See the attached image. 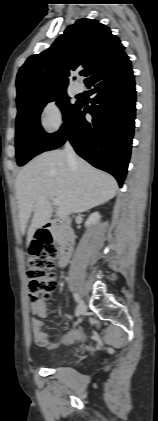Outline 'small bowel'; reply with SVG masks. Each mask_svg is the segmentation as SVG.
I'll use <instances>...</instances> for the list:
<instances>
[{"mask_svg": "<svg viewBox=\"0 0 158 421\" xmlns=\"http://www.w3.org/2000/svg\"><path fill=\"white\" fill-rule=\"evenodd\" d=\"M31 312L34 315L39 316L40 318H45L48 313V306L45 301L36 302L31 304ZM32 332L33 338L37 345L41 347L53 348V344L50 342V337L43 332L44 323L39 319H32ZM83 334L82 330H78L75 334L65 337L62 341V344L67 345L74 341L77 336Z\"/></svg>", "mask_w": 158, "mask_h": 421, "instance_id": "1", "label": "small bowel"}]
</instances>
